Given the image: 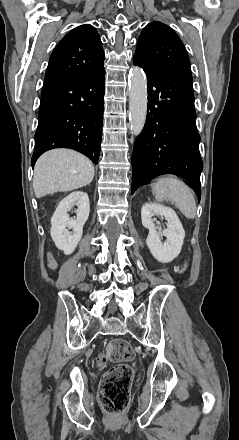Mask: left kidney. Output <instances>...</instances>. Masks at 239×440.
Returning <instances> with one entry per match:
<instances>
[{"instance_id":"5707ae66","label":"left kidney","mask_w":239,"mask_h":440,"mask_svg":"<svg viewBox=\"0 0 239 440\" xmlns=\"http://www.w3.org/2000/svg\"><path fill=\"white\" fill-rule=\"evenodd\" d=\"M153 216H160V218L167 220L166 230L157 232L158 228L152 220ZM141 220L144 228L149 230L146 244L155 260L167 264L177 258L182 250L185 232L174 210L161 206V204L148 202L142 206ZM160 236H166V242H161Z\"/></svg>"}]
</instances>
